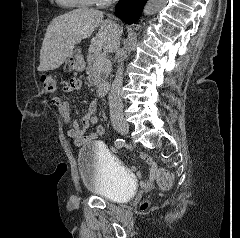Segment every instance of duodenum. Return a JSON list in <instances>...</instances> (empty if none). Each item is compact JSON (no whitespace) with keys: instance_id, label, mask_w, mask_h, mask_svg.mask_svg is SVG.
<instances>
[{"instance_id":"duodenum-1","label":"duodenum","mask_w":240,"mask_h":238,"mask_svg":"<svg viewBox=\"0 0 240 238\" xmlns=\"http://www.w3.org/2000/svg\"><path fill=\"white\" fill-rule=\"evenodd\" d=\"M107 91H108V83L104 82V83L100 84L98 87V91H97L98 96L100 98L104 97L106 95Z\"/></svg>"}]
</instances>
